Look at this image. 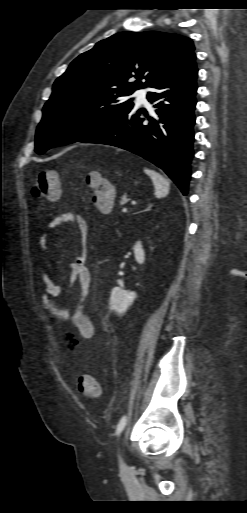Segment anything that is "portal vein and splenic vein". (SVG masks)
Segmentation results:
<instances>
[{"instance_id": "portal-vein-and-splenic-vein-1", "label": "portal vein and splenic vein", "mask_w": 247, "mask_h": 513, "mask_svg": "<svg viewBox=\"0 0 247 513\" xmlns=\"http://www.w3.org/2000/svg\"><path fill=\"white\" fill-rule=\"evenodd\" d=\"M127 212H128V209H127V208H123V209H122V213H124V214H125V213H127Z\"/></svg>"}]
</instances>
